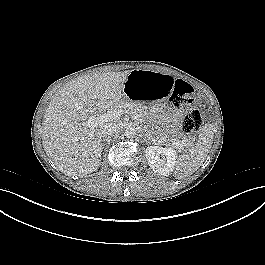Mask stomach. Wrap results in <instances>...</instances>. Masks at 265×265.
I'll use <instances>...</instances> for the list:
<instances>
[{
	"label": "stomach",
	"instance_id": "obj_1",
	"mask_svg": "<svg viewBox=\"0 0 265 265\" xmlns=\"http://www.w3.org/2000/svg\"><path fill=\"white\" fill-rule=\"evenodd\" d=\"M173 78L152 70H134L127 77L123 88L126 99L141 101L139 121L151 136L166 135L173 127L174 118L170 100Z\"/></svg>",
	"mask_w": 265,
	"mask_h": 265
}]
</instances>
